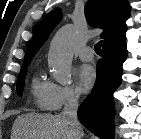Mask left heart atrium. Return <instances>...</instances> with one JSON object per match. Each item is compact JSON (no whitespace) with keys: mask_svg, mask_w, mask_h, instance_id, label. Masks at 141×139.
<instances>
[{"mask_svg":"<svg viewBox=\"0 0 141 139\" xmlns=\"http://www.w3.org/2000/svg\"><path fill=\"white\" fill-rule=\"evenodd\" d=\"M79 90L88 93L94 87L97 74L96 70L90 65L81 66L76 73Z\"/></svg>","mask_w":141,"mask_h":139,"instance_id":"left-heart-atrium-1","label":"left heart atrium"}]
</instances>
